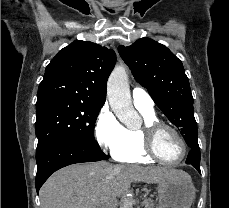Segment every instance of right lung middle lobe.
<instances>
[{"mask_svg":"<svg viewBox=\"0 0 229 208\" xmlns=\"http://www.w3.org/2000/svg\"><path fill=\"white\" fill-rule=\"evenodd\" d=\"M100 108L67 98H51L36 103V152L60 138H76L93 146L94 124Z\"/></svg>","mask_w":229,"mask_h":208,"instance_id":"obj_1","label":"right lung middle lobe"}]
</instances>
